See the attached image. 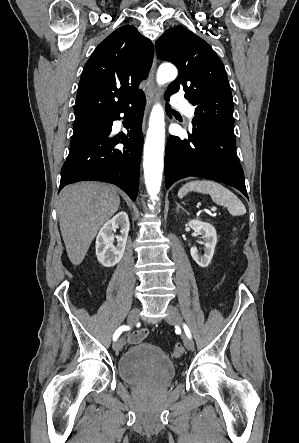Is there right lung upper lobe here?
Segmentation results:
<instances>
[{
	"instance_id": "right-lung-upper-lobe-1",
	"label": "right lung upper lobe",
	"mask_w": 299,
	"mask_h": 443,
	"mask_svg": "<svg viewBox=\"0 0 299 443\" xmlns=\"http://www.w3.org/2000/svg\"><path fill=\"white\" fill-rule=\"evenodd\" d=\"M154 55L151 41L134 26L116 29L94 50L78 86L75 123L101 117L129 105L143 93Z\"/></svg>"
}]
</instances>
